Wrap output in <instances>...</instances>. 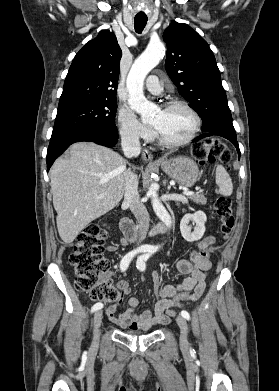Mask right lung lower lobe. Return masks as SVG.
Masks as SVG:
<instances>
[{
  "mask_svg": "<svg viewBox=\"0 0 279 391\" xmlns=\"http://www.w3.org/2000/svg\"><path fill=\"white\" fill-rule=\"evenodd\" d=\"M117 140L118 132L115 124L87 127L76 131L51 136L46 158L47 171H49L55 159L74 142L89 141L107 147H112L117 143Z\"/></svg>",
  "mask_w": 279,
  "mask_h": 391,
  "instance_id": "right-lung-lower-lobe-1",
  "label": "right lung lower lobe"
}]
</instances>
